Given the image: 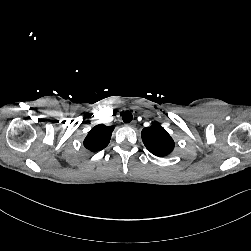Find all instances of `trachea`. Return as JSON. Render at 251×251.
Instances as JSON below:
<instances>
[{
    "instance_id": "3493384b",
    "label": "trachea",
    "mask_w": 251,
    "mask_h": 251,
    "mask_svg": "<svg viewBox=\"0 0 251 251\" xmlns=\"http://www.w3.org/2000/svg\"><path fill=\"white\" fill-rule=\"evenodd\" d=\"M124 123H130L133 119L132 113L130 111H125L122 117Z\"/></svg>"
}]
</instances>
